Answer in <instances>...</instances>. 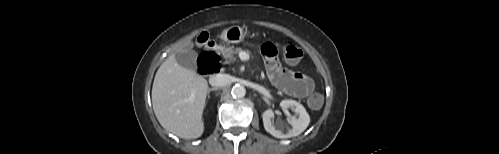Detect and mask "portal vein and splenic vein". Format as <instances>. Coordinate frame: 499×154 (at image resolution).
<instances>
[{
  "label": "portal vein and splenic vein",
  "mask_w": 499,
  "mask_h": 154,
  "mask_svg": "<svg viewBox=\"0 0 499 154\" xmlns=\"http://www.w3.org/2000/svg\"><path fill=\"white\" fill-rule=\"evenodd\" d=\"M193 99H194V93H192L191 96L189 97L190 101H193Z\"/></svg>",
  "instance_id": "obj_1"
}]
</instances>
